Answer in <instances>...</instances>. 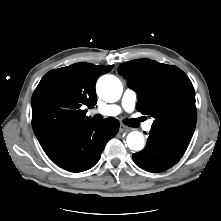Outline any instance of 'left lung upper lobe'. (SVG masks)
Masks as SVG:
<instances>
[{"label": "left lung upper lobe", "mask_w": 221, "mask_h": 221, "mask_svg": "<svg viewBox=\"0 0 221 221\" xmlns=\"http://www.w3.org/2000/svg\"><path fill=\"white\" fill-rule=\"evenodd\" d=\"M118 72L137 92V110L155 119L152 129L189 144L197 116L194 88L186 74L150 59L122 63Z\"/></svg>", "instance_id": "obj_1"}]
</instances>
